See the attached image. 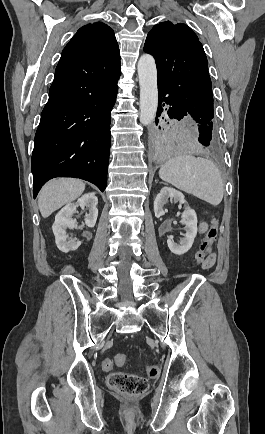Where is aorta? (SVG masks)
I'll list each match as a JSON object with an SVG mask.
<instances>
[{"mask_svg":"<svg viewBox=\"0 0 265 434\" xmlns=\"http://www.w3.org/2000/svg\"><path fill=\"white\" fill-rule=\"evenodd\" d=\"M140 84V124L149 126L155 120L158 108L157 70L153 56L143 54L138 60Z\"/></svg>","mask_w":265,"mask_h":434,"instance_id":"aorta-1","label":"aorta"}]
</instances>
